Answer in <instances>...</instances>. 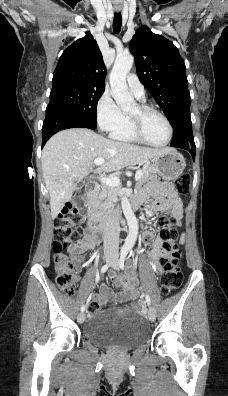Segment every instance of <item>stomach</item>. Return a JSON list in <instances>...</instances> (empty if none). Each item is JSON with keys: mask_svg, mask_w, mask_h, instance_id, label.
<instances>
[{"mask_svg": "<svg viewBox=\"0 0 228 396\" xmlns=\"http://www.w3.org/2000/svg\"><path fill=\"white\" fill-rule=\"evenodd\" d=\"M151 161L156 173L167 180L178 178L186 166L184 157L173 149L151 159Z\"/></svg>", "mask_w": 228, "mask_h": 396, "instance_id": "1", "label": "stomach"}]
</instances>
